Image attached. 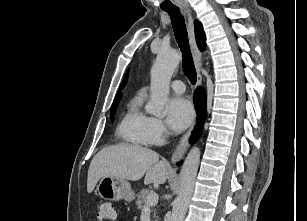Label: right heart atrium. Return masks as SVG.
I'll return each instance as SVG.
<instances>
[{
  "label": "right heart atrium",
  "mask_w": 307,
  "mask_h": 221,
  "mask_svg": "<svg viewBox=\"0 0 307 221\" xmlns=\"http://www.w3.org/2000/svg\"><path fill=\"white\" fill-rule=\"evenodd\" d=\"M149 136L151 144H159L167 138L168 132L162 120L149 117Z\"/></svg>",
  "instance_id": "obj_1"
}]
</instances>
